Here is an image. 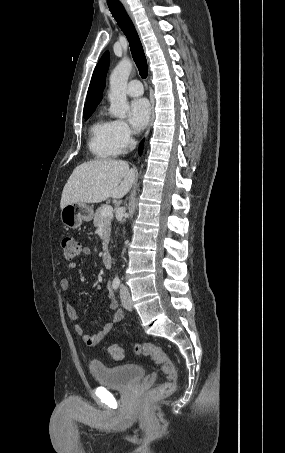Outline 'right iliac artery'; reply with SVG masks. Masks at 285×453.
<instances>
[{
  "instance_id": "82829eb1",
  "label": "right iliac artery",
  "mask_w": 285,
  "mask_h": 453,
  "mask_svg": "<svg viewBox=\"0 0 285 453\" xmlns=\"http://www.w3.org/2000/svg\"><path fill=\"white\" fill-rule=\"evenodd\" d=\"M112 286L114 289H117L120 286V279L117 276L114 278Z\"/></svg>"
}]
</instances>
